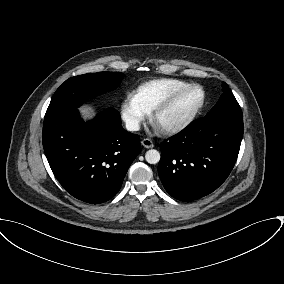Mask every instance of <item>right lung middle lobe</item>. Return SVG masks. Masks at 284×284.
Here are the masks:
<instances>
[{"label": "right lung middle lobe", "instance_id": "obj_1", "mask_svg": "<svg viewBox=\"0 0 284 284\" xmlns=\"http://www.w3.org/2000/svg\"><path fill=\"white\" fill-rule=\"evenodd\" d=\"M122 77L121 72H99L69 78L54 93L44 123L63 112L76 109L92 96L114 89Z\"/></svg>", "mask_w": 284, "mask_h": 284}]
</instances>
